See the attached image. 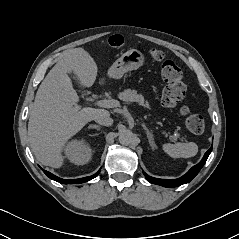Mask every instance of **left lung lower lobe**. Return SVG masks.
<instances>
[{
  "mask_svg": "<svg viewBox=\"0 0 239 239\" xmlns=\"http://www.w3.org/2000/svg\"><path fill=\"white\" fill-rule=\"evenodd\" d=\"M212 151V146L211 148L205 153L203 159L195 166H193L184 176H182L181 178L178 179H172V180H166V179H158V178H153L149 175H147L145 172H143L144 176L146 177V179L153 184H157V185H161L164 187H169V188H173V187H178L182 184H186L189 183L197 174L198 172L201 170V168L203 167V165L205 164L208 156L210 155Z\"/></svg>",
  "mask_w": 239,
  "mask_h": 239,
  "instance_id": "1",
  "label": "left lung lower lobe"
}]
</instances>
